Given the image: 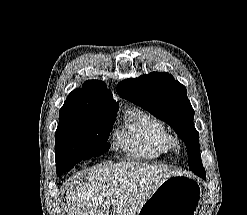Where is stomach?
Segmentation results:
<instances>
[{"instance_id":"stomach-1","label":"stomach","mask_w":247,"mask_h":215,"mask_svg":"<svg viewBox=\"0 0 247 215\" xmlns=\"http://www.w3.org/2000/svg\"><path fill=\"white\" fill-rule=\"evenodd\" d=\"M201 195L194 179L184 175L170 176L143 203L137 215H196Z\"/></svg>"}]
</instances>
